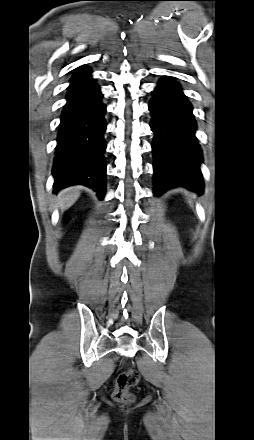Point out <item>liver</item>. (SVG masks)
Here are the masks:
<instances>
[{"label":"liver","mask_w":254,"mask_h":440,"mask_svg":"<svg viewBox=\"0 0 254 440\" xmlns=\"http://www.w3.org/2000/svg\"><path fill=\"white\" fill-rule=\"evenodd\" d=\"M80 187L73 186L62 190L56 199V206L61 210L71 207L80 196Z\"/></svg>","instance_id":"obj_1"}]
</instances>
